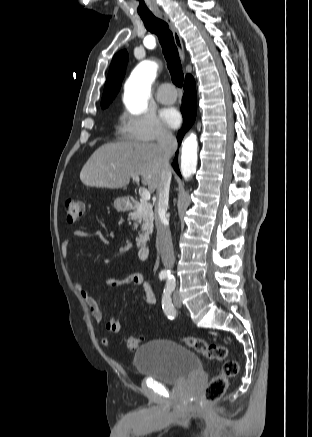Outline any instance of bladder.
Wrapping results in <instances>:
<instances>
[{
    "mask_svg": "<svg viewBox=\"0 0 312 437\" xmlns=\"http://www.w3.org/2000/svg\"><path fill=\"white\" fill-rule=\"evenodd\" d=\"M134 365L141 376L169 385L202 373L201 362L193 351L167 339L152 340L138 348Z\"/></svg>",
    "mask_w": 312,
    "mask_h": 437,
    "instance_id": "31cf9c89",
    "label": "bladder"
}]
</instances>
